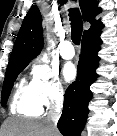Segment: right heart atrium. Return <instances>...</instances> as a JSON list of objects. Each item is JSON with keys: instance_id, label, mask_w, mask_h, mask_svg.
Returning a JSON list of instances; mask_svg holds the SVG:
<instances>
[{"instance_id": "right-heart-atrium-1", "label": "right heart atrium", "mask_w": 117, "mask_h": 136, "mask_svg": "<svg viewBox=\"0 0 117 136\" xmlns=\"http://www.w3.org/2000/svg\"><path fill=\"white\" fill-rule=\"evenodd\" d=\"M29 90L42 108L61 102L65 93L58 72L42 57H38L32 62Z\"/></svg>"}]
</instances>
